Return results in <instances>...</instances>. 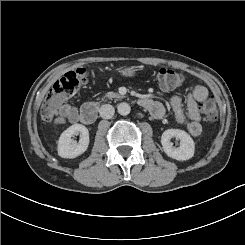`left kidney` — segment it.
Here are the masks:
<instances>
[{
    "label": "left kidney",
    "mask_w": 245,
    "mask_h": 245,
    "mask_svg": "<svg viewBox=\"0 0 245 245\" xmlns=\"http://www.w3.org/2000/svg\"><path fill=\"white\" fill-rule=\"evenodd\" d=\"M172 138L180 140V146L174 147ZM161 144L164 152L176 160H188L193 157L195 144L190 135L180 129L165 130L161 136Z\"/></svg>",
    "instance_id": "5707ae66"
}]
</instances>
